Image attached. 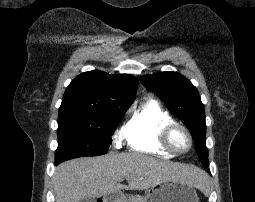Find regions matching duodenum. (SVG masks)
Here are the masks:
<instances>
[{
    "instance_id": "duodenum-1",
    "label": "duodenum",
    "mask_w": 255,
    "mask_h": 202,
    "mask_svg": "<svg viewBox=\"0 0 255 202\" xmlns=\"http://www.w3.org/2000/svg\"><path fill=\"white\" fill-rule=\"evenodd\" d=\"M99 202H119L118 196L115 193H108L102 197Z\"/></svg>"
}]
</instances>
